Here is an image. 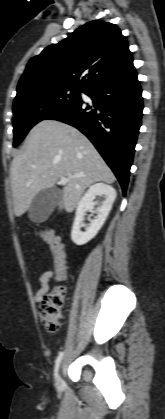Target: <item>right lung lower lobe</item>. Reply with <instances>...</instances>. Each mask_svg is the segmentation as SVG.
Returning a JSON list of instances; mask_svg holds the SVG:
<instances>
[{"label":"right lung lower lobe","instance_id":"obj_1","mask_svg":"<svg viewBox=\"0 0 165 419\" xmlns=\"http://www.w3.org/2000/svg\"><path fill=\"white\" fill-rule=\"evenodd\" d=\"M93 107L81 99L49 115L85 134L119 180L125 193L143 110L142 90L133 63L84 92Z\"/></svg>","mask_w":165,"mask_h":419}]
</instances>
